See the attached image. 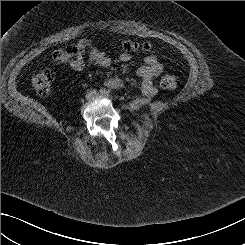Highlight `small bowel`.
Here are the masks:
<instances>
[{
    "label": "small bowel",
    "mask_w": 245,
    "mask_h": 245,
    "mask_svg": "<svg viewBox=\"0 0 245 245\" xmlns=\"http://www.w3.org/2000/svg\"><path fill=\"white\" fill-rule=\"evenodd\" d=\"M73 55L62 54L58 58H53L55 64H66L74 71H82L87 66L109 67L113 62L127 63L132 59V54L123 51L116 59H112L105 51L97 47L89 40H80L75 46ZM87 54V55H86ZM163 71V65L152 55L144 58V64L136 71L140 78V90L145 97H153L158 90L154 83V78ZM111 89H123L124 81L119 77H111L105 82Z\"/></svg>",
    "instance_id": "obj_1"
}]
</instances>
